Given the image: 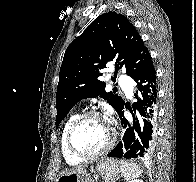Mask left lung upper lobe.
Here are the masks:
<instances>
[{
	"instance_id": "1",
	"label": "left lung upper lobe",
	"mask_w": 196,
	"mask_h": 182,
	"mask_svg": "<svg viewBox=\"0 0 196 182\" xmlns=\"http://www.w3.org/2000/svg\"><path fill=\"white\" fill-rule=\"evenodd\" d=\"M150 58L148 48L125 16L108 12L97 17L64 54L56 95V128L81 99L100 96L118 112L124 101L115 92L105 91V84L98 80L100 70L114 63L115 82L119 69L124 67L133 77Z\"/></svg>"
}]
</instances>
